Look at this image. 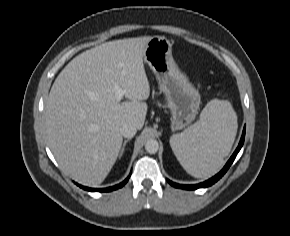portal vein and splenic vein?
Returning <instances> with one entry per match:
<instances>
[{
    "label": "portal vein and splenic vein",
    "instance_id": "18ae733b",
    "mask_svg": "<svg viewBox=\"0 0 290 236\" xmlns=\"http://www.w3.org/2000/svg\"><path fill=\"white\" fill-rule=\"evenodd\" d=\"M115 90H116V99L117 101H120L123 98L124 92L122 89L118 87H116Z\"/></svg>",
    "mask_w": 290,
    "mask_h": 236
}]
</instances>
